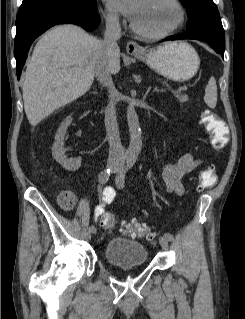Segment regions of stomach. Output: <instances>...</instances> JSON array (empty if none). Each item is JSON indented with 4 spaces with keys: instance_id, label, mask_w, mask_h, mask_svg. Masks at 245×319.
Here are the masks:
<instances>
[{
    "instance_id": "1",
    "label": "stomach",
    "mask_w": 245,
    "mask_h": 319,
    "mask_svg": "<svg viewBox=\"0 0 245 319\" xmlns=\"http://www.w3.org/2000/svg\"><path fill=\"white\" fill-rule=\"evenodd\" d=\"M134 56L173 81L191 79L200 65L196 50L186 42H169Z\"/></svg>"
}]
</instances>
